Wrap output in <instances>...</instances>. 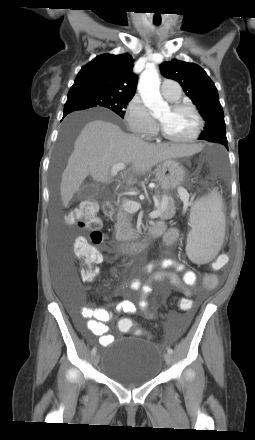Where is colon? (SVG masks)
Wrapping results in <instances>:
<instances>
[{
    "mask_svg": "<svg viewBox=\"0 0 255 440\" xmlns=\"http://www.w3.org/2000/svg\"><path fill=\"white\" fill-rule=\"evenodd\" d=\"M66 222L89 232V240L79 237L76 239L74 249L77 257L84 262L86 270L82 279L91 281L97 273V265L102 261V255L97 249L105 241L101 231V220L97 216V205L93 201H84L77 209L66 216ZM210 276L207 275L206 280ZM176 303L180 311H193L195 304L192 298H177ZM122 332H129L134 329L135 324L131 318H122L118 322Z\"/></svg>",
    "mask_w": 255,
    "mask_h": 440,
    "instance_id": "obj_1",
    "label": "colon"
}]
</instances>
